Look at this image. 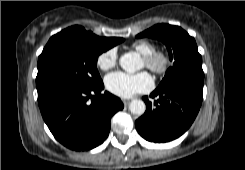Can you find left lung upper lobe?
I'll return each mask as SVG.
<instances>
[{"mask_svg":"<svg viewBox=\"0 0 245 170\" xmlns=\"http://www.w3.org/2000/svg\"><path fill=\"white\" fill-rule=\"evenodd\" d=\"M136 37L161 40L167 46L170 60L174 62L173 66L167 70L158 88L180 81L204 83L202 57L198 52L196 42L181 27L157 24Z\"/></svg>","mask_w":245,"mask_h":170,"instance_id":"obj_1","label":"left lung upper lobe"}]
</instances>
